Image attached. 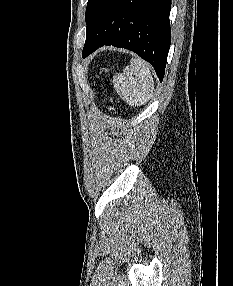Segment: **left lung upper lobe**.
Masks as SVG:
<instances>
[{"label":"left lung upper lobe","instance_id":"1","mask_svg":"<svg viewBox=\"0 0 233 286\" xmlns=\"http://www.w3.org/2000/svg\"><path fill=\"white\" fill-rule=\"evenodd\" d=\"M93 2H94V0H88L87 8H86V15H85L86 19H87L88 15H89V12H90V9H91V6H92Z\"/></svg>","mask_w":233,"mask_h":286}]
</instances>
